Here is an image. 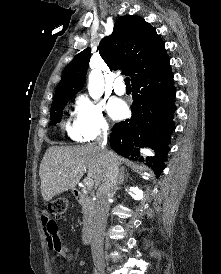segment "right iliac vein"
<instances>
[{
    "mask_svg": "<svg viewBox=\"0 0 221 274\" xmlns=\"http://www.w3.org/2000/svg\"><path fill=\"white\" fill-rule=\"evenodd\" d=\"M98 274H104V270L102 268H99V273Z\"/></svg>",
    "mask_w": 221,
    "mask_h": 274,
    "instance_id": "1",
    "label": "right iliac vein"
}]
</instances>
